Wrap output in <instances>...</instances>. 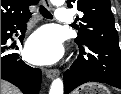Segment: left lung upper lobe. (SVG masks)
<instances>
[{"label":"left lung upper lobe","instance_id":"1","mask_svg":"<svg viewBox=\"0 0 121 94\" xmlns=\"http://www.w3.org/2000/svg\"><path fill=\"white\" fill-rule=\"evenodd\" d=\"M69 8H77L81 15L75 42L79 46L88 43L118 44V33L114 25L110 0H67Z\"/></svg>","mask_w":121,"mask_h":94}]
</instances>
